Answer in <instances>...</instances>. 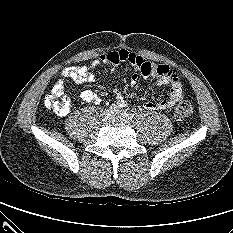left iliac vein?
I'll list each match as a JSON object with an SVG mask.
<instances>
[{
  "instance_id": "4c4485c4",
  "label": "left iliac vein",
  "mask_w": 233,
  "mask_h": 233,
  "mask_svg": "<svg viewBox=\"0 0 233 233\" xmlns=\"http://www.w3.org/2000/svg\"><path fill=\"white\" fill-rule=\"evenodd\" d=\"M112 118L116 120H123V121L129 120L127 113L122 110H117L113 112Z\"/></svg>"
}]
</instances>
